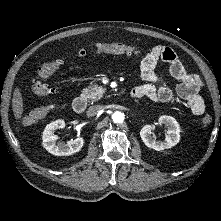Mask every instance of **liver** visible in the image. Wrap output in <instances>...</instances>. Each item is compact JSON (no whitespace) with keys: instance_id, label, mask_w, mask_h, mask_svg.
Wrapping results in <instances>:
<instances>
[{"instance_id":"1","label":"liver","mask_w":221,"mask_h":221,"mask_svg":"<svg viewBox=\"0 0 221 221\" xmlns=\"http://www.w3.org/2000/svg\"><path fill=\"white\" fill-rule=\"evenodd\" d=\"M12 109L16 119H20L23 113V99L19 88H16L12 98Z\"/></svg>"}]
</instances>
